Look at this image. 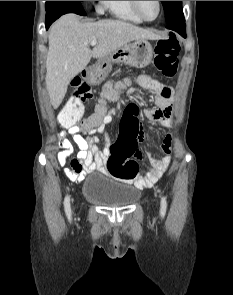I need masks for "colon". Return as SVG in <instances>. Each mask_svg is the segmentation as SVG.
<instances>
[{"instance_id":"colon-1","label":"colon","mask_w":233,"mask_h":295,"mask_svg":"<svg viewBox=\"0 0 233 295\" xmlns=\"http://www.w3.org/2000/svg\"><path fill=\"white\" fill-rule=\"evenodd\" d=\"M180 41L175 34L160 39L155 46L154 66L165 77H173L178 68ZM141 87L152 91L163 98H172L173 88L148 77L138 80ZM75 96L71 98L60 112V120L65 125L76 123L84 114L85 103L92 98L90 85L76 78L73 81ZM118 88L111 85L105 86L103 96L107 99H115ZM105 113L103 103L97 105L95 112L84 119L82 126L85 130H91L99 126ZM142 141V131L138 119L129 111H125L120 122V134L117 141L111 146V155L107 163L108 172L115 178L131 180L138 175V161L142 154L138 149Z\"/></svg>"}]
</instances>
